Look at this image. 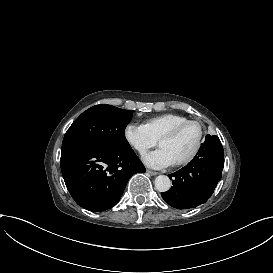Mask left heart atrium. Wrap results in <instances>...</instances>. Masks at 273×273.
I'll return each instance as SVG.
<instances>
[{
    "mask_svg": "<svg viewBox=\"0 0 273 273\" xmlns=\"http://www.w3.org/2000/svg\"><path fill=\"white\" fill-rule=\"evenodd\" d=\"M142 159L151 168L167 167L175 163L169 152L163 147L145 154Z\"/></svg>",
    "mask_w": 273,
    "mask_h": 273,
    "instance_id": "39dd6f15",
    "label": "left heart atrium"
}]
</instances>
